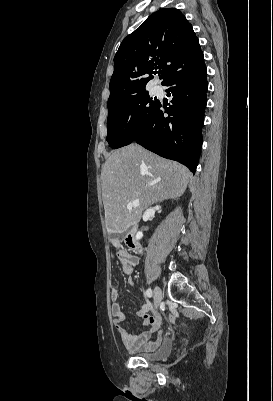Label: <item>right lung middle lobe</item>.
Instances as JSON below:
<instances>
[{
	"label": "right lung middle lobe",
	"instance_id": "obj_1",
	"mask_svg": "<svg viewBox=\"0 0 273 401\" xmlns=\"http://www.w3.org/2000/svg\"><path fill=\"white\" fill-rule=\"evenodd\" d=\"M159 101L147 91L125 98L108 107L107 142L113 149L133 142L139 129L152 118Z\"/></svg>",
	"mask_w": 273,
	"mask_h": 401
}]
</instances>
